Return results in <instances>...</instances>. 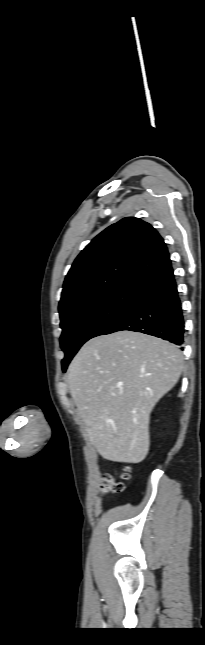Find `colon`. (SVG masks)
I'll return each mask as SVG.
<instances>
[{
	"instance_id": "obj_1",
	"label": "colon",
	"mask_w": 205,
	"mask_h": 645,
	"mask_svg": "<svg viewBox=\"0 0 205 645\" xmlns=\"http://www.w3.org/2000/svg\"><path fill=\"white\" fill-rule=\"evenodd\" d=\"M131 471V466L126 464L122 467L121 472H120V478L121 479H127L129 477V473ZM102 481L104 483L105 488L114 493L122 492L124 489V484L121 480L116 479L113 475L106 473L103 475Z\"/></svg>"
}]
</instances>
